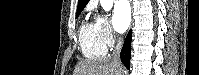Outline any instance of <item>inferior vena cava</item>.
I'll return each mask as SVG.
<instances>
[{
	"label": "inferior vena cava",
	"mask_w": 199,
	"mask_h": 75,
	"mask_svg": "<svg viewBox=\"0 0 199 75\" xmlns=\"http://www.w3.org/2000/svg\"><path fill=\"white\" fill-rule=\"evenodd\" d=\"M122 48V38H119L117 40V44L115 46L114 52L112 54V58L116 61L120 63V51Z\"/></svg>",
	"instance_id": "602c4592"
}]
</instances>
